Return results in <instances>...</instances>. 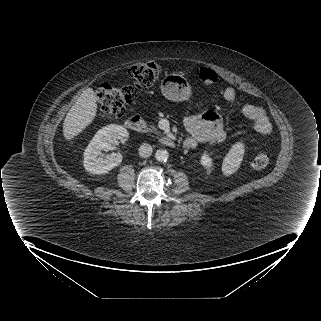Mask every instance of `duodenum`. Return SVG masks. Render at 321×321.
Listing matches in <instances>:
<instances>
[{"label":"duodenum","mask_w":321,"mask_h":321,"mask_svg":"<svg viewBox=\"0 0 321 321\" xmlns=\"http://www.w3.org/2000/svg\"><path fill=\"white\" fill-rule=\"evenodd\" d=\"M125 125L128 129L138 133H145L147 131V125L139 115H132L128 117L125 121ZM159 141L163 146L169 148H173L176 145L175 141L168 136L160 137Z\"/></svg>","instance_id":"obj_1"}]
</instances>
